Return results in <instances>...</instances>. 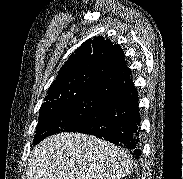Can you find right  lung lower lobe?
Here are the masks:
<instances>
[{"mask_svg": "<svg viewBox=\"0 0 183 179\" xmlns=\"http://www.w3.org/2000/svg\"><path fill=\"white\" fill-rule=\"evenodd\" d=\"M138 105L137 90L128 78L106 91L96 115L77 132L121 146L138 159L141 156Z\"/></svg>", "mask_w": 183, "mask_h": 179, "instance_id": "right-lung-lower-lobe-1", "label": "right lung lower lobe"}]
</instances>
